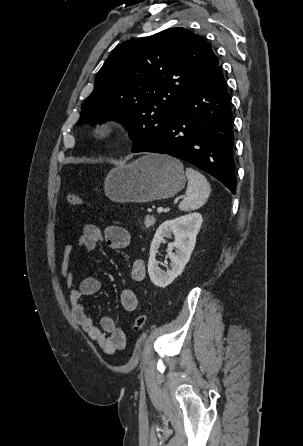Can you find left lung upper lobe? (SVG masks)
I'll list each match as a JSON object with an SVG mask.
<instances>
[{"mask_svg": "<svg viewBox=\"0 0 303 446\" xmlns=\"http://www.w3.org/2000/svg\"><path fill=\"white\" fill-rule=\"evenodd\" d=\"M211 46L184 28H170L118 46L99 70L77 125L123 122L132 152L156 139L178 105L217 66Z\"/></svg>", "mask_w": 303, "mask_h": 446, "instance_id": "1", "label": "left lung upper lobe"}]
</instances>
